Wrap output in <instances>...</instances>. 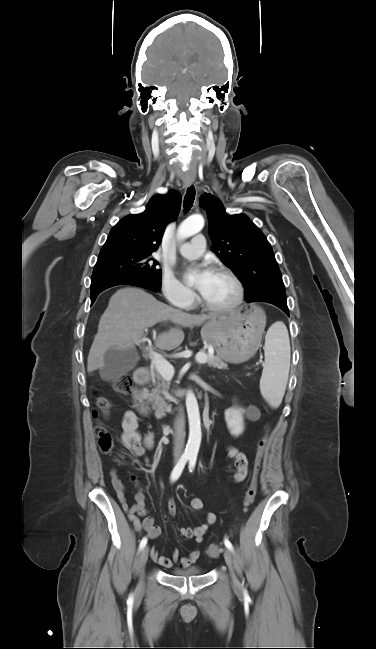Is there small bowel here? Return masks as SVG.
Masks as SVG:
<instances>
[{
	"label": "small bowel",
	"instance_id": "c3829d8e",
	"mask_svg": "<svg viewBox=\"0 0 376 649\" xmlns=\"http://www.w3.org/2000/svg\"><path fill=\"white\" fill-rule=\"evenodd\" d=\"M121 427V442L134 456H142L145 454L146 450L153 447V435L151 433H147L146 435L141 433L139 417L134 411L129 410L125 412ZM230 455L235 460L234 480L238 483L242 482L247 476L248 460L243 453L235 449L230 450ZM110 477L113 490L121 508L126 513L127 518L133 523L135 529L140 530L143 528L152 539L159 537L161 529L156 526L153 519L148 516L145 507V495L140 487L136 475L133 474L130 477L131 481L138 489L134 496L135 502L133 504H129L126 500V488L123 482L118 478L116 469H111ZM190 506L194 511H201L203 509V503L199 499H193ZM167 512L171 517L176 514V505L172 499L167 501ZM138 516L143 517V520L141 521ZM216 521V514L210 512L206 515L202 524L194 528H180L179 532L183 537L193 539L194 543L198 546L203 542L207 530L213 526ZM199 556L200 551L198 548L193 549L185 557H181L180 552L175 550L171 558L160 555L156 548H152L150 551V557L152 560L165 568H172L175 564H178L182 568H187L191 564L195 563Z\"/></svg>",
	"mask_w": 376,
	"mask_h": 649
}]
</instances>
